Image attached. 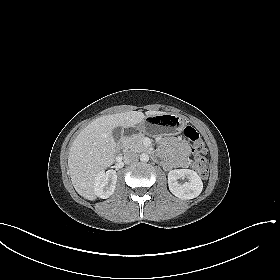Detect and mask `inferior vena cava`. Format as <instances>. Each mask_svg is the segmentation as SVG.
Instances as JSON below:
<instances>
[{
    "mask_svg": "<svg viewBox=\"0 0 280 280\" xmlns=\"http://www.w3.org/2000/svg\"><path fill=\"white\" fill-rule=\"evenodd\" d=\"M124 162L125 163H130V162H135L138 160V155L134 152H127L124 154Z\"/></svg>",
    "mask_w": 280,
    "mask_h": 280,
    "instance_id": "602c4592",
    "label": "inferior vena cava"
}]
</instances>
